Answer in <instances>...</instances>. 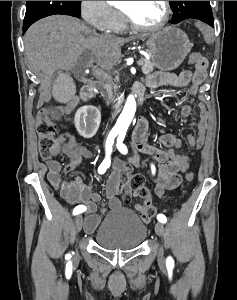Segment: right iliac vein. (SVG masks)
Returning <instances> with one entry per match:
<instances>
[{
    "label": "right iliac vein",
    "mask_w": 237,
    "mask_h": 300,
    "mask_svg": "<svg viewBox=\"0 0 237 300\" xmlns=\"http://www.w3.org/2000/svg\"><path fill=\"white\" fill-rule=\"evenodd\" d=\"M75 220H76L75 221L76 232L79 233L82 229V222H83L82 216L81 215L77 216Z\"/></svg>",
    "instance_id": "obj_1"
}]
</instances>
